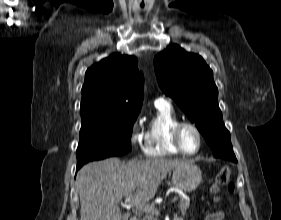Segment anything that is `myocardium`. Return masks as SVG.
<instances>
[{
    "mask_svg": "<svg viewBox=\"0 0 281 220\" xmlns=\"http://www.w3.org/2000/svg\"><path fill=\"white\" fill-rule=\"evenodd\" d=\"M185 128H191L192 130H194V132L196 133L197 137H198V147L195 151L193 152H188L184 149L183 145H182V141H181V134L183 129ZM172 142L174 144V146L178 149V151L183 154V155H187V156H193L196 155L197 153H199V151L202 148V144H203V135L201 130L199 129V127L192 123V122H188V121H181L179 123H177L173 130H172Z\"/></svg>",
    "mask_w": 281,
    "mask_h": 220,
    "instance_id": "myocardium-1",
    "label": "myocardium"
}]
</instances>
